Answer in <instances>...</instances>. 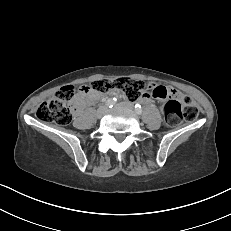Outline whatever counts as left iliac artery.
I'll use <instances>...</instances> for the list:
<instances>
[{"label":"left iliac artery","mask_w":231,"mask_h":231,"mask_svg":"<svg viewBox=\"0 0 231 231\" xmlns=\"http://www.w3.org/2000/svg\"><path fill=\"white\" fill-rule=\"evenodd\" d=\"M135 111H136V113L139 114V115L142 114L143 111H142V107H141L140 104H136V105H135Z\"/></svg>","instance_id":"obj_1"}]
</instances>
